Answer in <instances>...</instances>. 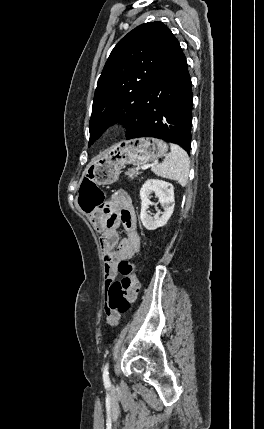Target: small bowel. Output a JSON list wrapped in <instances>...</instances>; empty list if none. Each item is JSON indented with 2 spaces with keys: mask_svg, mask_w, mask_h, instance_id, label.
Wrapping results in <instances>:
<instances>
[{
  "mask_svg": "<svg viewBox=\"0 0 264 429\" xmlns=\"http://www.w3.org/2000/svg\"><path fill=\"white\" fill-rule=\"evenodd\" d=\"M112 205L115 210L111 212L96 210L88 213L93 226L102 232L100 246L104 259L105 283H110L116 277L117 264L126 258L138 253L141 239L136 226V213L132 199L127 191L117 190L112 196ZM123 226L125 236L120 239L117 228ZM106 311V310H105ZM107 321L116 325L120 314L106 311Z\"/></svg>",
  "mask_w": 264,
  "mask_h": 429,
  "instance_id": "obj_1",
  "label": "small bowel"
}]
</instances>
